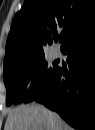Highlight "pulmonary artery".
Returning a JSON list of instances; mask_svg holds the SVG:
<instances>
[{
  "instance_id": "pulmonary-artery-1",
  "label": "pulmonary artery",
  "mask_w": 95,
  "mask_h": 130,
  "mask_svg": "<svg viewBox=\"0 0 95 130\" xmlns=\"http://www.w3.org/2000/svg\"><path fill=\"white\" fill-rule=\"evenodd\" d=\"M52 56L53 57H58L59 55V50L56 47H53L51 50Z\"/></svg>"
}]
</instances>
